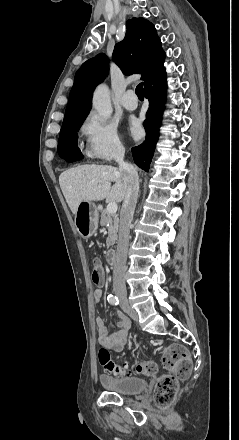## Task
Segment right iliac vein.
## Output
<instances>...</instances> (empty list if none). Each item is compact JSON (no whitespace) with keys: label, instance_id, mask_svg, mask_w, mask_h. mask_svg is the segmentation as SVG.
<instances>
[{"label":"right iliac vein","instance_id":"63e3f726","mask_svg":"<svg viewBox=\"0 0 239 440\" xmlns=\"http://www.w3.org/2000/svg\"><path fill=\"white\" fill-rule=\"evenodd\" d=\"M122 308L133 319H137L138 318V315H137L136 311L128 304V302L126 300L123 301Z\"/></svg>","mask_w":239,"mask_h":440}]
</instances>
